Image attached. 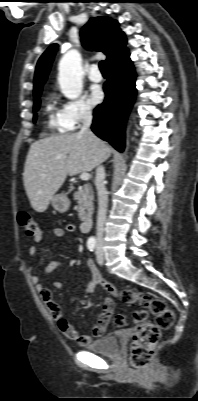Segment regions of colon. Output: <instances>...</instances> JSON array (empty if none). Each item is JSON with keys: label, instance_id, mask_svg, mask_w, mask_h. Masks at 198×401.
Instances as JSON below:
<instances>
[{"label": "colon", "instance_id": "5ec220e1", "mask_svg": "<svg viewBox=\"0 0 198 401\" xmlns=\"http://www.w3.org/2000/svg\"><path fill=\"white\" fill-rule=\"evenodd\" d=\"M21 230L28 237L36 236L39 228L36 220L27 212L17 216ZM121 300L127 304L138 303L142 309L134 313L137 326L130 345L129 364L134 369L145 367L151 360L160 340L161 330L171 327L175 321L174 311L157 298H152L134 289H124L120 293ZM155 317V322H147L148 314ZM126 317L118 314L114 318V326L122 328L126 325Z\"/></svg>", "mask_w": 198, "mask_h": 401}]
</instances>
